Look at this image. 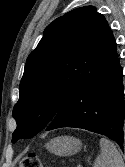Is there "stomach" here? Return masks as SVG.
<instances>
[{"label":"stomach","instance_id":"stomach-1","mask_svg":"<svg viewBox=\"0 0 125 167\" xmlns=\"http://www.w3.org/2000/svg\"><path fill=\"white\" fill-rule=\"evenodd\" d=\"M46 148L56 155L70 156L81 150L82 142L72 136H61L50 140Z\"/></svg>","mask_w":125,"mask_h":167}]
</instances>
